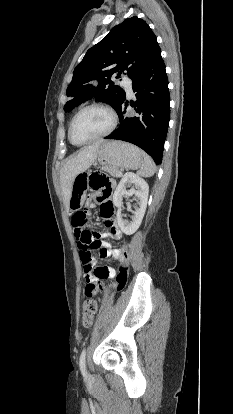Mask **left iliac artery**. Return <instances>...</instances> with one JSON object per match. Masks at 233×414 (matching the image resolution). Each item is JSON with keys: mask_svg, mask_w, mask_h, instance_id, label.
<instances>
[{"mask_svg": "<svg viewBox=\"0 0 233 414\" xmlns=\"http://www.w3.org/2000/svg\"><path fill=\"white\" fill-rule=\"evenodd\" d=\"M85 357H86V349H83L80 355L79 365H80V370L84 376L86 375Z\"/></svg>", "mask_w": 233, "mask_h": 414, "instance_id": "left-iliac-artery-1", "label": "left iliac artery"}]
</instances>
